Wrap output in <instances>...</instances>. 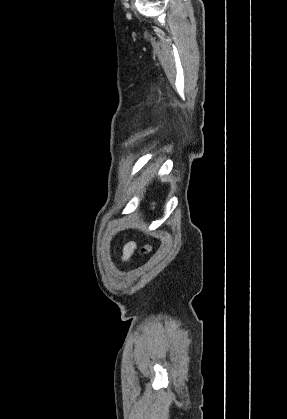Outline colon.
<instances>
[{
    "label": "colon",
    "mask_w": 287,
    "mask_h": 419,
    "mask_svg": "<svg viewBox=\"0 0 287 419\" xmlns=\"http://www.w3.org/2000/svg\"><path fill=\"white\" fill-rule=\"evenodd\" d=\"M150 246H148V245H146V246H144L143 248H142V253L143 254H146V253H148L149 251H150Z\"/></svg>",
    "instance_id": "obj_1"
}]
</instances>
